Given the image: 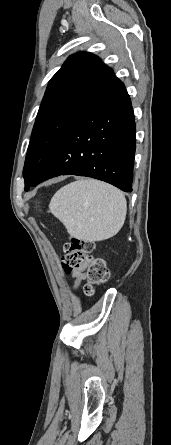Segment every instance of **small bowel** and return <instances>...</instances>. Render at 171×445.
<instances>
[{
  "label": "small bowel",
  "mask_w": 171,
  "mask_h": 445,
  "mask_svg": "<svg viewBox=\"0 0 171 445\" xmlns=\"http://www.w3.org/2000/svg\"><path fill=\"white\" fill-rule=\"evenodd\" d=\"M72 277L74 278V288L76 289L85 276L82 272H73Z\"/></svg>",
  "instance_id": "small-bowel-1"
}]
</instances>
